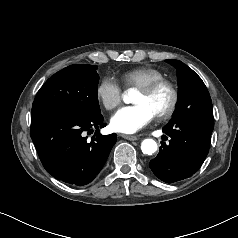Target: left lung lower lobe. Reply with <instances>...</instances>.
Wrapping results in <instances>:
<instances>
[{
  "label": "left lung lower lobe",
  "mask_w": 238,
  "mask_h": 238,
  "mask_svg": "<svg viewBox=\"0 0 238 238\" xmlns=\"http://www.w3.org/2000/svg\"><path fill=\"white\" fill-rule=\"evenodd\" d=\"M213 127L187 122L168 123L163 133L170 136L169 144L161 142L158 155L150 161L153 173L167 183L192 176L208 154Z\"/></svg>",
  "instance_id": "1"
}]
</instances>
